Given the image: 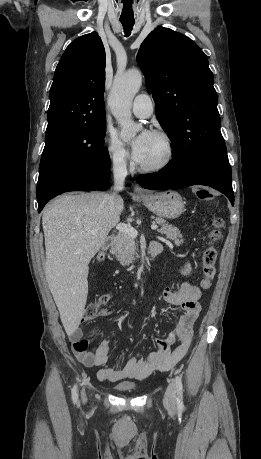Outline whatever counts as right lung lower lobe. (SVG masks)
<instances>
[{"instance_id":"98d812e1","label":"right lung lower lobe","mask_w":261,"mask_h":459,"mask_svg":"<svg viewBox=\"0 0 261 459\" xmlns=\"http://www.w3.org/2000/svg\"><path fill=\"white\" fill-rule=\"evenodd\" d=\"M111 171L109 168H81L62 174L37 192L38 212L53 197L68 191L106 190Z\"/></svg>"}]
</instances>
